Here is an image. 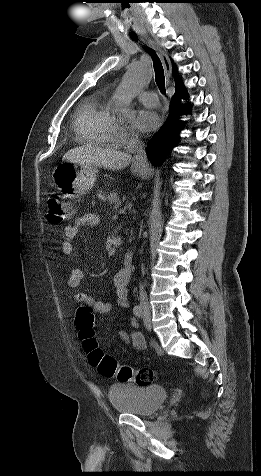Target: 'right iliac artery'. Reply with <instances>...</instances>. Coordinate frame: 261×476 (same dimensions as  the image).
<instances>
[{
	"label": "right iliac artery",
	"mask_w": 261,
	"mask_h": 476,
	"mask_svg": "<svg viewBox=\"0 0 261 476\" xmlns=\"http://www.w3.org/2000/svg\"><path fill=\"white\" fill-rule=\"evenodd\" d=\"M133 313L136 317L140 318L143 316V308L141 305H136L133 308ZM151 343L153 342L152 340L150 341Z\"/></svg>",
	"instance_id": "1"
}]
</instances>
